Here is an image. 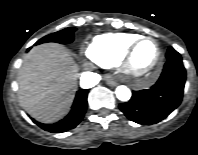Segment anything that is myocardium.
<instances>
[{
    "instance_id": "myocardium-1",
    "label": "myocardium",
    "mask_w": 198,
    "mask_h": 155,
    "mask_svg": "<svg viewBox=\"0 0 198 155\" xmlns=\"http://www.w3.org/2000/svg\"><path fill=\"white\" fill-rule=\"evenodd\" d=\"M144 41H152L155 43L157 47V56L154 61V63L145 71H137L133 65V56L135 53L136 48ZM163 61V50L159 44V42L149 36H140L137 39H135L125 50L124 54L122 55L119 64L121 66L122 73L131 78L132 80L142 83L153 80L156 75L158 74V71L160 69V66Z\"/></svg>"
}]
</instances>
